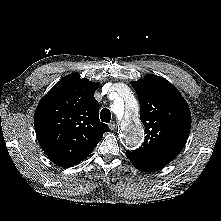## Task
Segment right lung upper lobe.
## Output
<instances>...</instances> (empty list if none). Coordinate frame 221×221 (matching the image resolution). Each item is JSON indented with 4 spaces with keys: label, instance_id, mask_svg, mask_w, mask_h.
<instances>
[{
    "label": "right lung upper lobe",
    "instance_id": "obj_1",
    "mask_svg": "<svg viewBox=\"0 0 221 221\" xmlns=\"http://www.w3.org/2000/svg\"><path fill=\"white\" fill-rule=\"evenodd\" d=\"M99 84L79 74L63 77L40 101L34 116L37 139L45 154L62 167L84 160L109 127L100 122L94 98Z\"/></svg>",
    "mask_w": 221,
    "mask_h": 221
}]
</instances>
